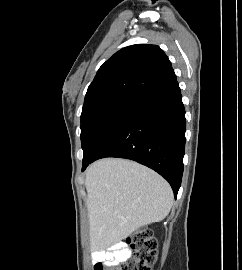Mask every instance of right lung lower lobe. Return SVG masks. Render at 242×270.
Wrapping results in <instances>:
<instances>
[{
    "instance_id": "obj_1",
    "label": "right lung lower lobe",
    "mask_w": 242,
    "mask_h": 270,
    "mask_svg": "<svg viewBox=\"0 0 242 270\" xmlns=\"http://www.w3.org/2000/svg\"><path fill=\"white\" fill-rule=\"evenodd\" d=\"M185 109L177 80L138 102L117 130L88 161L120 157L152 168L171 185L175 197L181 185L185 149Z\"/></svg>"
}]
</instances>
